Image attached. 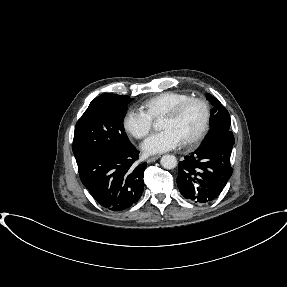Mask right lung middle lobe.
I'll return each instance as SVG.
<instances>
[{
    "instance_id": "1",
    "label": "right lung middle lobe",
    "mask_w": 287,
    "mask_h": 287,
    "mask_svg": "<svg viewBox=\"0 0 287 287\" xmlns=\"http://www.w3.org/2000/svg\"><path fill=\"white\" fill-rule=\"evenodd\" d=\"M131 100L128 96L103 94L89 104L75 126L73 153L77 163L96 150L133 147L123 126Z\"/></svg>"
}]
</instances>
